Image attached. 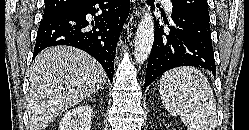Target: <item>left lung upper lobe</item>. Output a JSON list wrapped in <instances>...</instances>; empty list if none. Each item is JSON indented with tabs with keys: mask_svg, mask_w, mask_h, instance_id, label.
Wrapping results in <instances>:
<instances>
[{
	"mask_svg": "<svg viewBox=\"0 0 249 130\" xmlns=\"http://www.w3.org/2000/svg\"><path fill=\"white\" fill-rule=\"evenodd\" d=\"M174 8L209 21L207 0H172Z\"/></svg>",
	"mask_w": 249,
	"mask_h": 130,
	"instance_id": "left-lung-upper-lobe-1",
	"label": "left lung upper lobe"
}]
</instances>
